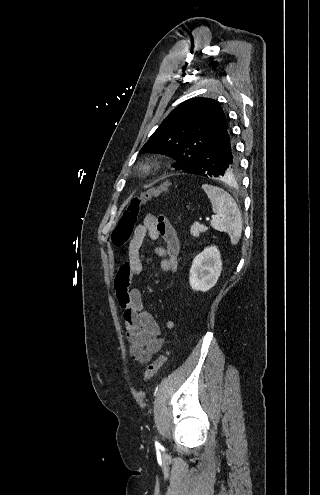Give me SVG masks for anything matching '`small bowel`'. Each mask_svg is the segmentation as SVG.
<instances>
[{
  "label": "small bowel",
  "instance_id": "c3829d8e",
  "mask_svg": "<svg viewBox=\"0 0 320 495\" xmlns=\"http://www.w3.org/2000/svg\"><path fill=\"white\" fill-rule=\"evenodd\" d=\"M147 237L151 240L161 239L165 244L155 248L156 254L162 258L160 267L163 272L176 271L180 249L177 232L168 219L163 215L147 214L142 222L136 225L128 247V260L117 273L116 293L122 308L130 356L142 364L148 363L164 343L158 322L144 309L140 289L129 288L131 278L143 271L140 249ZM165 327L172 330L176 327V322L168 319L165 321Z\"/></svg>",
  "mask_w": 320,
  "mask_h": 495
}]
</instances>
